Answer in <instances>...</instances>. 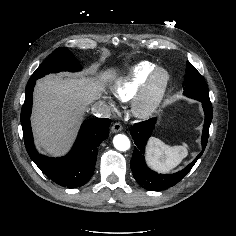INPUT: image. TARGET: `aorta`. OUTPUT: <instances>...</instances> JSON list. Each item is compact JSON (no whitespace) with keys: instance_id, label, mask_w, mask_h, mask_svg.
I'll return each instance as SVG.
<instances>
[{"instance_id":"aorta-1","label":"aorta","mask_w":236,"mask_h":236,"mask_svg":"<svg viewBox=\"0 0 236 236\" xmlns=\"http://www.w3.org/2000/svg\"><path fill=\"white\" fill-rule=\"evenodd\" d=\"M114 147L119 151H127L130 148V140L124 134H118L113 139Z\"/></svg>"}]
</instances>
